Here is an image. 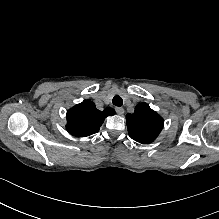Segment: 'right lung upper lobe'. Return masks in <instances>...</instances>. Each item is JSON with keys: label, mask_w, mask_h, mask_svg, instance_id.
I'll list each match as a JSON object with an SVG mask.
<instances>
[{"label": "right lung upper lobe", "mask_w": 219, "mask_h": 219, "mask_svg": "<svg viewBox=\"0 0 219 219\" xmlns=\"http://www.w3.org/2000/svg\"><path fill=\"white\" fill-rule=\"evenodd\" d=\"M114 114L110 107L100 111L93 102L84 100L68 110L66 128L74 136H89L99 131L107 116Z\"/></svg>", "instance_id": "right-lung-upper-lobe-1"}]
</instances>
